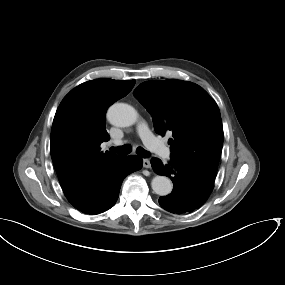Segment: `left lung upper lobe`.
Segmentation results:
<instances>
[{
	"mask_svg": "<svg viewBox=\"0 0 285 285\" xmlns=\"http://www.w3.org/2000/svg\"><path fill=\"white\" fill-rule=\"evenodd\" d=\"M133 95L151 114L155 131H171L172 159L217 171L223 127L216 102L200 86L175 79L147 81Z\"/></svg>",
	"mask_w": 285,
	"mask_h": 285,
	"instance_id": "1",
	"label": "left lung upper lobe"
}]
</instances>
